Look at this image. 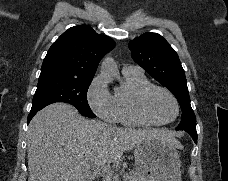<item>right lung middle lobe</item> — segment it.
Wrapping results in <instances>:
<instances>
[{
  "mask_svg": "<svg viewBox=\"0 0 228 181\" xmlns=\"http://www.w3.org/2000/svg\"><path fill=\"white\" fill-rule=\"evenodd\" d=\"M92 80L69 79L60 76L39 77L31 110H41L55 103H69L84 116L95 118L87 102V91Z\"/></svg>",
  "mask_w": 228,
  "mask_h": 181,
  "instance_id": "right-lung-middle-lobe-1",
  "label": "right lung middle lobe"
}]
</instances>
